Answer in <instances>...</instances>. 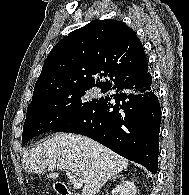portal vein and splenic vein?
Here are the masks:
<instances>
[{"label":"portal vein and splenic vein","instance_id":"portal-vein-and-splenic-vein-1","mask_svg":"<svg viewBox=\"0 0 189 195\" xmlns=\"http://www.w3.org/2000/svg\"><path fill=\"white\" fill-rule=\"evenodd\" d=\"M54 168L55 166H49L50 170H53ZM66 175L70 179V181H72L73 188L80 189L83 186L84 181L81 178L74 175L72 172L66 171Z\"/></svg>","mask_w":189,"mask_h":195}]
</instances>
